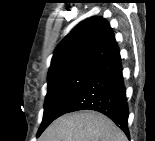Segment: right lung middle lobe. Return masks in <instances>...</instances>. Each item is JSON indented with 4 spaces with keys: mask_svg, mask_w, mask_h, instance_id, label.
I'll list each match as a JSON object with an SVG mask.
<instances>
[{
    "mask_svg": "<svg viewBox=\"0 0 155 141\" xmlns=\"http://www.w3.org/2000/svg\"><path fill=\"white\" fill-rule=\"evenodd\" d=\"M95 69L76 68L48 78V90L44 104V115L37 137L60 115L63 106L92 75Z\"/></svg>",
    "mask_w": 155,
    "mask_h": 141,
    "instance_id": "obj_1",
    "label": "right lung middle lobe"
}]
</instances>
